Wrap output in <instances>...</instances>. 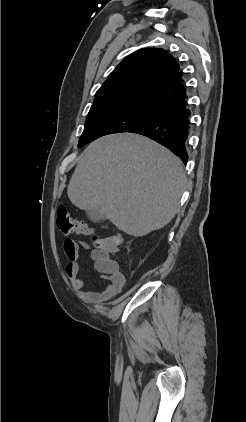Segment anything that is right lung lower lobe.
I'll return each instance as SVG.
<instances>
[{
  "label": "right lung lower lobe",
  "instance_id": "right-lung-lower-lobe-1",
  "mask_svg": "<svg viewBox=\"0 0 246 422\" xmlns=\"http://www.w3.org/2000/svg\"><path fill=\"white\" fill-rule=\"evenodd\" d=\"M186 94L159 107V115L129 132L144 135L162 144L186 164L188 154L185 141L189 130L190 110Z\"/></svg>",
  "mask_w": 246,
  "mask_h": 422
}]
</instances>
